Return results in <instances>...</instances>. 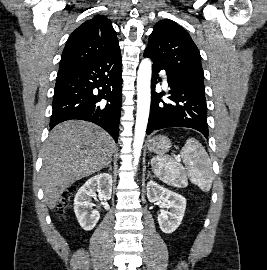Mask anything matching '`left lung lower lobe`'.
Listing matches in <instances>:
<instances>
[{
  "label": "left lung lower lobe",
  "mask_w": 267,
  "mask_h": 270,
  "mask_svg": "<svg viewBox=\"0 0 267 270\" xmlns=\"http://www.w3.org/2000/svg\"><path fill=\"white\" fill-rule=\"evenodd\" d=\"M144 57L150 56L144 52ZM161 70L165 71L161 65L153 61L147 134L168 127H188L198 130L208 138L205 90L179 80L165 71L170 87L168 98L172 101V103H165L161 99L162 93L155 92V85L161 81L159 77Z\"/></svg>",
  "instance_id": "obj_1"
}]
</instances>
